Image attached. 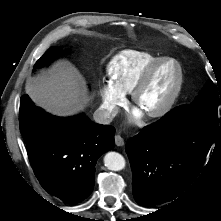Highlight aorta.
<instances>
[{
    "label": "aorta",
    "instance_id": "762f6f07",
    "mask_svg": "<svg viewBox=\"0 0 221 221\" xmlns=\"http://www.w3.org/2000/svg\"><path fill=\"white\" fill-rule=\"evenodd\" d=\"M104 164L109 170L120 171L125 167V159L117 152H108L104 157Z\"/></svg>",
    "mask_w": 221,
    "mask_h": 221
}]
</instances>
